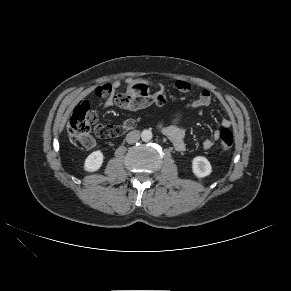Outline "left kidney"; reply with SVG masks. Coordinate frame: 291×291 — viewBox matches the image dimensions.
<instances>
[{"label":"left kidney","instance_id":"5707ae66","mask_svg":"<svg viewBox=\"0 0 291 291\" xmlns=\"http://www.w3.org/2000/svg\"><path fill=\"white\" fill-rule=\"evenodd\" d=\"M192 171L196 177L204 178L211 174L212 167L205 157L197 156L192 160Z\"/></svg>","mask_w":291,"mask_h":291}]
</instances>
